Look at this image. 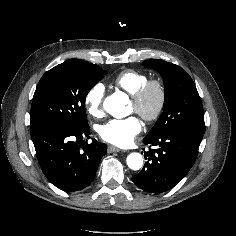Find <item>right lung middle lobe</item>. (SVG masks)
Here are the masks:
<instances>
[{
	"label": "right lung middle lobe",
	"mask_w": 236,
	"mask_h": 236,
	"mask_svg": "<svg viewBox=\"0 0 236 236\" xmlns=\"http://www.w3.org/2000/svg\"><path fill=\"white\" fill-rule=\"evenodd\" d=\"M106 73L97 65L79 59L67 60L46 72L33 96L30 126H86V95Z\"/></svg>",
	"instance_id": "right-lung-middle-lobe-1"
}]
</instances>
